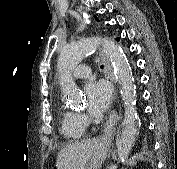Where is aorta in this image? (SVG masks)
<instances>
[{"label": "aorta", "mask_w": 177, "mask_h": 169, "mask_svg": "<svg viewBox=\"0 0 177 169\" xmlns=\"http://www.w3.org/2000/svg\"><path fill=\"white\" fill-rule=\"evenodd\" d=\"M99 43L102 44L104 53L111 60L114 73L122 88L121 94L125 106V116L116 138V147L119 160L124 162L128 158L136 140L139 119L136 110V91L131 67L121 48L114 41L105 38H88L65 46L57 64L59 85L67 104L72 106L81 104L82 96L72 79V71L85 57L95 51Z\"/></svg>", "instance_id": "1"}]
</instances>
